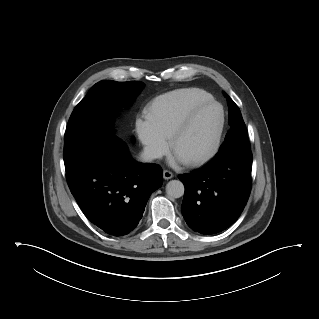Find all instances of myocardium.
Listing matches in <instances>:
<instances>
[{"label":"myocardium","mask_w":319,"mask_h":319,"mask_svg":"<svg viewBox=\"0 0 319 319\" xmlns=\"http://www.w3.org/2000/svg\"><path fill=\"white\" fill-rule=\"evenodd\" d=\"M210 105H216L220 109V125L218 129V133L216 136V140L214 143L213 148L210 152L205 154L204 156L194 158L191 160L183 161V163L187 166H200L203 165L209 161H211L220 151L223 135L225 131L226 126V111L223 107V105L215 100L214 98H211L207 101L201 102L193 106L189 112L187 113L186 117L181 121V123L176 127V129L172 132L170 139H169V145L172 152H174L175 144L176 142L188 131V129L191 127L196 115L199 111H201L203 108L210 106Z\"/></svg>","instance_id":"myocardium-1"}]
</instances>
